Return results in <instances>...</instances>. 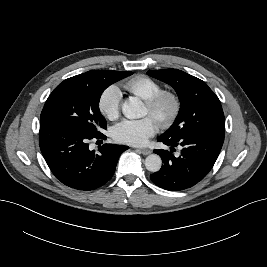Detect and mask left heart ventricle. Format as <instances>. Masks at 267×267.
<instances>
[{"label": "left heart ventricle", "instance_id": "left-heart-ventricle-1", "mask_svg": "<svg viewBox=\"0 0 267 267\" xmlns=\"http://www.w3.org/2000/svg\"><path fill=\"white\" fill-rule=\"evenodd\" d=\"M168 111H169V104L168 103L164 104V106L162 107V109L158 115L151 114L146 106L144 108V114L150 115L156 122H158V119L161 115H165Z\"/></svg>", "mask_w": 267, "mask_h": 267}]
</instances>
